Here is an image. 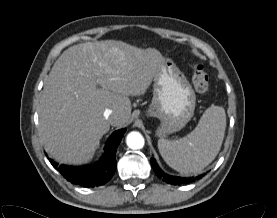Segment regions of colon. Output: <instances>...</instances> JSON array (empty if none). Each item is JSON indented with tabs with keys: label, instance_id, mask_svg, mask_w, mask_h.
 <instances>
[{
	"label": "colon",
	"instance_id": "obj_1",
	"mask_svg": "<svg viewBox=\"0 0 277 218\" xmlns=\"http://www.w3.org/2000/svg\"><path fill=\"white\" fill-rule=\"evenodd\" d=\"M191 81L195 91L200 95H205L209 90L208 75L201 64L192 67Z\"/></svg>",
	"mask_w": 277,
	"mask_h": 218
}]
</instances>
